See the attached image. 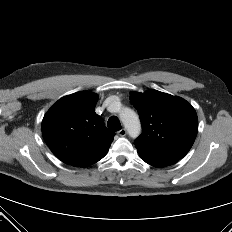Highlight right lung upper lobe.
I'll return each mask as SVG.
<instances>
[{
  "mask_svg": "<svg viewBox=\"0 0 232 232\" xmlns=\"http://www.w3.org/2000/svg\"><path fill=\"white\" fill-rule=\"evenodd\" d=\"M97 100L95 93L77 92L59 99L45 114L42 135L62 162L86 167L108 152L115 134L95 113Z\"/></svg>",
  "mask_w": 232,
  "mask_h": 232,
  "instance_id": "obj_1",
  "label": "right lung upper lobe"
}]
</instances>
